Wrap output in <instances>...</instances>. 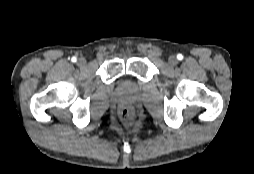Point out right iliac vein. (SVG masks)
<instances>
[{
  "mask_svg": "<svg viewBox=\"0 0 254 174\" xmlns=\"http://www.w3.org/2000/svg\"><path fill=\"white\" fill-rule=\"evenodd\" d=\"M86 63H87V61H86V59L83 58V57H80V58L77 60V64H78V66H80V67L85 66Z\"/></svg>",
  "mask_w": 254,
  "mask_h": 174,
  "instance_id": "obj_1",
  "label": "right iliac vein"
}]
</instances>
